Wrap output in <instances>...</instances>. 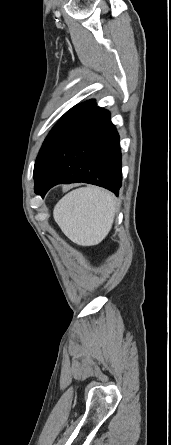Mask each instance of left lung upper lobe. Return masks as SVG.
<instances>
[{
  "label": "left lung upper lobe",
  "instance_id": "left-lung-upper-lobe-1",
  "mask_svg": "<svg viewBox=\"0 0 171 445\" xmlns=\"http://www.w3.org/2000/svg\"><path fill=\"white\" fill-rule=\"evenodd\" d=\"M95 106L96 104L93 100H89L87 102L79 104L70 109L53 127V129L46 137L37 156V160L34 166V176L37 174L50 152L57 145L60 139L65 135V133Z\"/></svg>",
  "mask_w": 171,
  "mask_h": 445
}]
</instances>
